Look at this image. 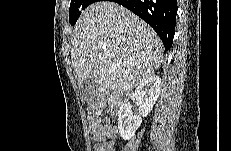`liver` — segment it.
Instances as JSON below:
<instances>
[{
	"label": "liver",
	"mask_w": 231,
	"mask_h": 151,
	"mask_svg": "<svg viewBox=\"0 0 231 151\" xmlns=\"http://www.w3.org/2000/svg\"><path fill=\"white\" fill-rule=\"evenodd\" d=\"M163 51L156 32L138 16L116 2L98 1L76 23L72 67L81 88L91 78L119 95L152 76Z\"/></svg>",
	"instance_id": "6515ba94"
}]
</instances>
